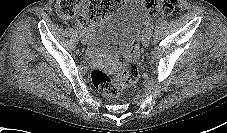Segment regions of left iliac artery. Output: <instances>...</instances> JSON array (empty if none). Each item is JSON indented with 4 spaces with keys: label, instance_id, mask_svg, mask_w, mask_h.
I'll return each mask as SVG.
<instances>
[{
    "label": "left iliac artery",
    "instance_id": "obj_1",
    "mask_svg": "<svg viewBox=\"0 0 227 133\" xmlns=\"http://www.w3.org/2000/svg\"><path fill=\"white\" fill-rule=\"evenodd\" d=\"M153 27H154L153 22H150L146 25L145 30H148L150 33H152Z\"/></svg>",
    "mask_w": 227,
    "mask_h": 133
}]
</instances>
